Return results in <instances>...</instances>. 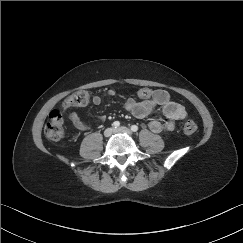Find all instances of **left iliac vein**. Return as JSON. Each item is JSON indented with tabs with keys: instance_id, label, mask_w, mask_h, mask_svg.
<instances>
[{
	"instance_id": "1",
	"label": "left iliac vein",
	"mask_w": 243,
	"mask_h": 243,
	"mask_svg": "<svg viewBox=\"0 0 243 243\" xmlns=\"http://www.w3.org/2000/svg\"><path fill=\"white\" fill-rule=\"evenodd\" d=\"M115 133H127L129 135L132 134V131L130 129H128L127 127L121 126L118 127L114 130Z\"/></svg>"
}]
</instances>
